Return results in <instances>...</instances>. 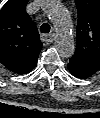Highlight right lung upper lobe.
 <instances>
[{"label":"right lung upper lobe","mask_w":100,"mask_h":118,"mask_svg":"<svg viewBox=\"0 0 100 118\" xmlns=\"http://www.w3.org/2000/svg\"><path fill=\"white\" fill-rule=\"evenodd\" d=\"M29 0H9L0 10V62L16 74L35 68L42 43L25 12Z\"/></svg>","instance_id":"1"}]
</instances>
